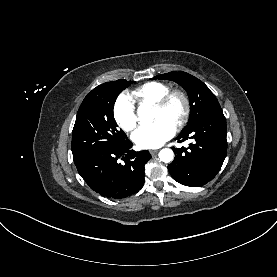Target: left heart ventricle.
Listing matches in <instances>:
<instances>
[{
	"mask_svg": "<svg viewBox=\"0 0 277 277\" xmlns=\"http://www.w3.org/2000/svg\"><path fill=\"white\" fill-rule=\"evenodd\" d=\"M182 111V102L180 99H174L169 107L166 110H160L154 108L153 111V119L156 121L158 119H167L173 123H176L178 117L180 116Z\"/></svg>",
	"mask_w": 277,
	"mask_h": 277,
	"instance_id": "b2bd125f",
	"label": "left heart ventricle"
}]
</instances>
